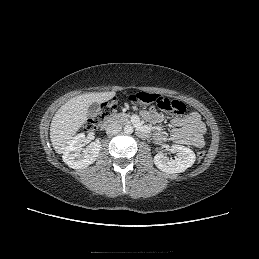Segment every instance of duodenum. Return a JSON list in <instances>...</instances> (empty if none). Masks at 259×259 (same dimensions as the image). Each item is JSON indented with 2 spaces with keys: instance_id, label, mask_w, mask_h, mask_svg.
Returning <instances> with one entry per match:
<instances>
[{
  "instance_id": "410a0bca",
  "label": "duodenum",
  "mask_w": 259,
  "mask_h": 259,
  "mask_svg": "<svg viewBox=\"0 0 259 259\" xmlns=\"http://www.w3.org/2000/svg\"><path fill=\"white\" fill-rule=\"evenodd\" d=\"M115 122H116V119H109V120H106V121L102 124L101 128H102L103 130H106V129L110 128L111 126H113V125L115 124ZM134 122H135V124L137 125L136 127H137V133H138V135L141 136V137H146V136H148V134H149L148 130L145 129L144 127L138 125V123H137L136 120H135Z\"/></svg>"
}]
</instances>
